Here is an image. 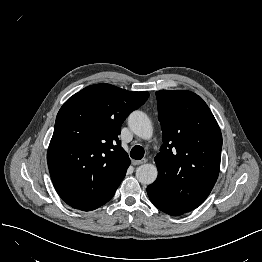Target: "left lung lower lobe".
<instances>
[{"label": "left lung lower lobe", "mask_w": 262, "mask_h": 262, "mask_svg": "<svg viewBox=\"0 0 262 262\" xmlns=\"http://www.w3.org/2000/svg\"><path fill=\"white\" fill-rule=\"evenodd\" d=\"M147 194L149 196V199L151 200V202L161 211H163L164 213H167L169 215L172 216H180L184 213L177 211L171 207H169L162 199H160L159 197L155 196L153 193L150 192V190L147 187Z\"/></svg>", "instance_id": "0a47b994"}]
</instances>
